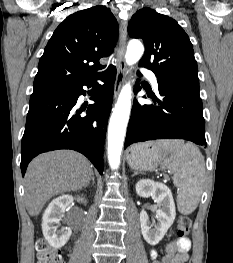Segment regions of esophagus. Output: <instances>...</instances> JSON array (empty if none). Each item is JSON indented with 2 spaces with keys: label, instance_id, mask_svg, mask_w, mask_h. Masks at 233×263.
Here are the masks:
<instances>
[{
  "label": "esophagus",
  "instance_id": "esophagus-1",
  "mask_svg": "<svg viewBox=\"0 0 233 263\" xmlns=\"http://www.w3.org/2000/svg\"><path fill=\"white\" fill-rule=\"evenodd\" d=\"M120 37H119V49L117 52L116 69L117 75L114 85V98L117 97L125 80L126 64H125V51H126V40H127V21H120Z\"/></svg>",
  "mask_w": 233,
  "mask_h": 263
}]
</instances>
